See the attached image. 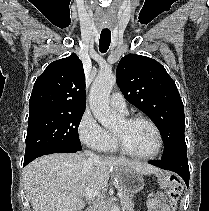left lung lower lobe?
<instances>
[{
	"instance_id": "left-lung-lower-lobe-1",
	"label": "left lung lower lobe",
	"mask_w": 209,
	"mask_h": 211,
	"mask_svg": "<svg viewBox=\"0 0 209 211\" xmlns=\"http://www.w3.org/2000/svg\"><path fill=\"white\" fill-rule=\"evenodd\" d=\"M150 164L162 168L164 170H170L180 175L185 181L187 187L189 185V166L187 160V154L181 153L169 159H161L158 161H150Z\"/></svg>"
}]
</instances>
